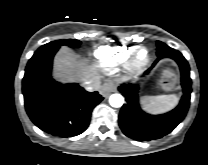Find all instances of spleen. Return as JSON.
<instances>
[{"instance_id": "obj_1", "label": "spleen", "mask_w": 208, "mask_h": 165, "mask_svg": "<svg viewBox=\"0 0 208 165\" xmlns=\"http://www.w3.org/2000/svg\"><path fill=\"white\" fill-rule=\"evenodd\" d=\"M144 109L154 114H161L173 109L178 103L175 94L145 97L141 99Z\"/></svg>"}]
</instances>
